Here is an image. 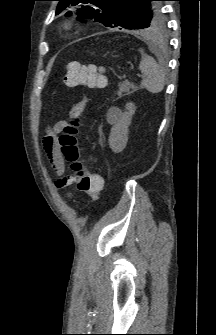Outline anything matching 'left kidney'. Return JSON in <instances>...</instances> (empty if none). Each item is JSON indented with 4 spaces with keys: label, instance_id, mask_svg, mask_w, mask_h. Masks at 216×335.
Masks as SVG:
<instances>
[{
    "label": "left kidney",
    "instance_id": "5707ae66",
    "mask_svg": "<svg viewBox=\"0 0 216 335\" xmlns=\"http://www.w3.org/2000/svg\"><path fill=\"white\" fill-rule=\"evenodd\" d=\"M125 108L126 111L122 113L120 120L112 126L109 135V146L114 153H120L125 149L128 142L129 126L136 110V106L132 102L127 103Z\"/></svg>",
    "mask_w": 216,
    "mask_h": 335
}]
</instances>
